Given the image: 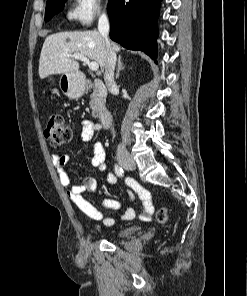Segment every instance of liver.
<instances>
[{"mask_svg": "<svg viewBox=\"0 0 247 296\" xmlns=\"http://www.w3.org/2000/svg\"><path fill=\"white\" fill-rule=\"evenodd\" d=\"M114 52L120 46L110 42ZM80 53L95 61L101 70L107 61V47L101 34L96 31L55 33L46 37L39 59V76L44 79L53 74L79 73V63L67 56Z\"/></svg>", "mask_w": 247, "mask_h": 296, "instance_id": "6515ba94", "label": "liver"}]
</instances>
